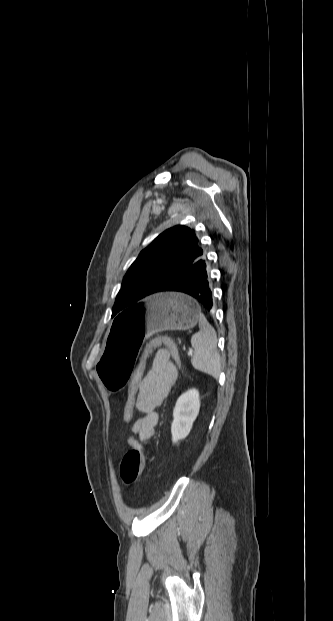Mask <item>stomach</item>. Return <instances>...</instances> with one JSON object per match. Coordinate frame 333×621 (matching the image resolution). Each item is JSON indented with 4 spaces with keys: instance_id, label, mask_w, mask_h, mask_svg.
<instances>
[{
    "instance_id": "stomach-1",
    "label": "stomach",
    "mask_w": 333,
    "mask_h": 621,
    "mask_svg": "<svg viewBox=\"0 0 333 621\" xmlns=\"http://www.w3.org/2000/svg\"><path fill=\"white\" fill-rule=\"evenodd\" d=\"M203 314L196 302L183 294L161 293L117 316L105 338L98 374L107 391H124L142 354L144 338L163 330H188Z\"/></svg>"
}]
</instances>
